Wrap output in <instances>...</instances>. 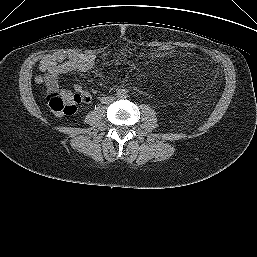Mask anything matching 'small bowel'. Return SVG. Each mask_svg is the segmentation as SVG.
I'll return each instance as SVG.
<instances>
[{
	"label": "small bowel",
	"mask_w": 257,
	"mask_h": 257,
	"mask_svg": "<svg viewBox=\"0 0 257 257\" xmlns=\"http://www.w3.org/2000/svg\"><path fill=\"white\" fill-rule=\"evenodd\" d=\"M96 64L93 54L65 55L51 53L43 56L39 63L40 75L36 77L37 83H44L49 91L59 89V78L63 74L72 72H87ZM75 92L82 94L86 101H90V94L79 84H74Z\"/></svg>",
	"instance_id": "obj_1"
}]
</instances>
